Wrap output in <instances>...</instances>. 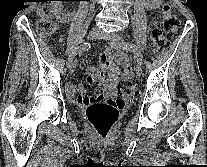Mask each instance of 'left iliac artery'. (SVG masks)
<instances>
[{"label": "left iliac artery", "instance_id": "44dca946", "mask_svg": "<svg viewBox=\"0 0 207 167\" xmlns=\"http://www.w3.org/2000/svg\"><path fill=\"white\" fill-rule=\"evenodd\" d=\"M123 48L127 49V50H130L134 53L136 59H137V62L139 64H142L143 62V57H142V54L140 52V50L138 49V47L130 42H126V43H123Z\"/></svg>", "mask_w": 207, "mask_h": 167}]
</instances>
